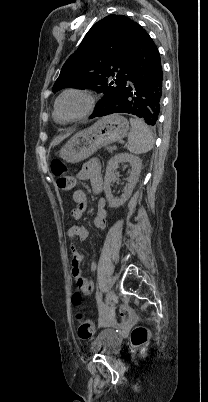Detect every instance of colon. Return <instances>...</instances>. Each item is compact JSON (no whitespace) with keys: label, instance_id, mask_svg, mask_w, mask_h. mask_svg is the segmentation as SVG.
<instances>
[{"label":"colon","instance_id":"1","mask_svg":"<svg viewBox=\"0 0 208 402\" xmlns=\"http://www.w3.org/2000/svg\"><path fill=\"white\" fill-rule=\"evenodd\" d=\"M53 176L55 177V185L57 189L64 193H70L75 185V178L73 175L66 172L67 166L60 160H55L50 165ZM82 296L76 292L73 297L75 305L81 304ZM120 315L123 319L122 324L124 327H131L133 321L130 317L131 308L127 301L122 302L120 308ZM95 329L94 321L85 319L81 315L77 319L78 335L81 339H89ZM131 337L137 344L142 343L148 337V327L146 324H137L135 329L131 330Z\"/></svg>","mask_w":208,"mask_h":402}]
</instances>
